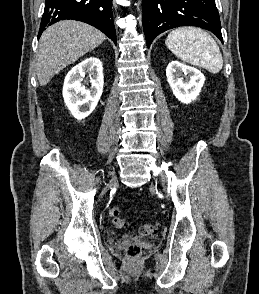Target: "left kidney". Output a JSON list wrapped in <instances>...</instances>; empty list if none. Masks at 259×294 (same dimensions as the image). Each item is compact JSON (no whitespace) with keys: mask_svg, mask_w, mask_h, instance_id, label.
Returning <instances> with one entry per match:
<instances>
[{"mask_svg":"<svg viewBox=\"0 0 259 294\" xmlns=\"http://www.w3.org/2000/svg\"><path fill=\"white\" fill-rule=\"evenodd\" d=\"M166 76L174 96L185 104H189L197 98L205 82L204 75L198 69L179 61L169 63Z\"/></svg>","mask_w":259,"mask_h":294,"instance_id":"1","label":"left kidney"}]
</instances>
